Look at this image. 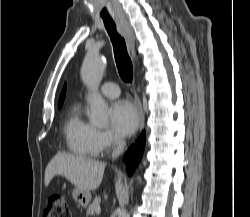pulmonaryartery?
I'll return each mask as SVG.
<instances>
[{"label":"pulmonary artery","instance_id":"e3ab8cb5","mask_svg":"<svg viewBox=\"0 0 250 217\" xmlns=\"http://www.w3.org/2000/svg\"><path fill=\"white\" fill-rule=\"evenodd\" d=\"M101 93L107 98H117L120 95V89L117 84L112 82L105 83L101 88Z\"/></svg>","mask_w":250,"mask_h":217}]
</instances>
